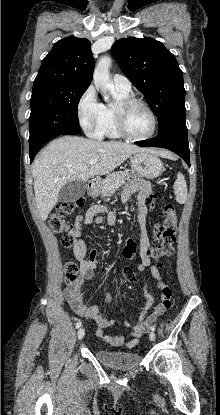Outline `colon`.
Listing matches in <instances>:
<instances>
[{"instance_id": "colon-1", "label": "colon", "mask_w": 220, "mask_h": 415, "mask_svg": "<svg viewBox=\"0 0 220 415\" xmlns=\"http://www.w3.org/2000/svg\"><path fill=\"white\" fill-rule=\"evenodd\" d=\"M150 203L153 204L155 200L154 195L149 196ZM84 205L83 199L79 198L71 202H66L60 205L56 211L49 218V226L55 234L63 235L61 243L65 248H72L75 246L73 237L69 234L72 229V223L69 216L78 208ZM177 233V214L172 204H167L163 210V221L160 225L153 226V235L155 238V245L150 251L151 257L156 261H161L173 253V245ZM137 253V244L135 240H127L123 247V255L127 259L135 258ZM78 274V266L74 262H69L65 266V282L72 284L75 282ZM123 277L126 282H133L135 279V272L132 268H125L123 270ZM160 289V301L156 306L155 311L158 314H163L172 307L173 292L171 287L160 279L158 282Z\"/></svg>"}]
</instances>
